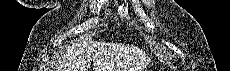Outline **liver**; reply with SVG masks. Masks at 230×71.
<instances>
[{"mask_svg":"<svg viewBox=\"0 0 230 71\" xmlns=\"http://www.w3.org/2000/svg\"><path fill=\"white\" fill-rule=\"evenodd\" d=\"M92 62L94 71H139L150 58L138 48L83 40L66 49L57 71H88Z\"/></svg>","mask_w":230,"mask_h":71,"instance_id":"6515ba94","label":"liver"}]
</instances>
